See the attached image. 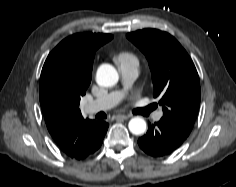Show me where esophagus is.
<instances>
[{
    "mask_svg": "<svg viewBox=\"0 0 236 187\" xmlns=\"http://www.w3.org/2000/svg\"><path fill=\"white\" fill-rule=\"evenodd\" d=\"M129 117H130L129 115L119 114V115H116V116H115V119H116V120H118V119L125 120V119H128Z\"/></svg>",
    "mask_w": 236,
    "mask_h": 187,
    "instance_id": "1",
    "label": "esophagus"
}]
</instances>
